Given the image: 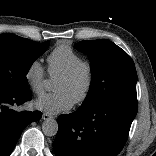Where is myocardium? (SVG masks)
<instances>
[{
    "mask_svg": "<svg viewBox=\"0 0 156 156\" xmlns=\"http://www.w3.org/2000/svg\"><path fill=\"white\" fill-rule=\"evenodd\" d=\"M81 74H83L85 77V83L81 93L73 101L75 105H79L85 102L93 89L95 82V73L93 66L89 62L81 61L68 71L58 76V78L60 79L71 81L76 79Z\"/></svg>",
    "mask_w": 156,
    "mask_h": 156,
    "instance_id": "f54148a6",
    "label": "myocardium"
}]
</instances>
